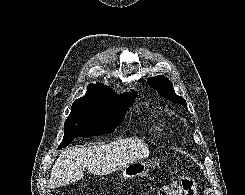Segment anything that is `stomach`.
<instances>
[{
	"mask_svg": "<svg viewBox=\"0 0 245 195\" xmlns=\"http://www.w3.org/2000/svg\"><path fill=\"white\" fill-rule=\"evenodd\" d=\"M151 163L147 161H135L121 170L119 177L121 180L131 179L135 177H143L149 171Z\"/></svg>",
	"mask_w": 245,
	"mask_h": 195,
	"instance_id": "stomach-1",
	"label": "stomach"
}]
</instances>
